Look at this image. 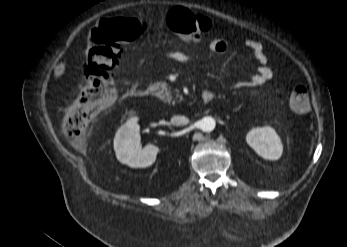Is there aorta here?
<instances>
[{"label":"aorta","instance_id":"1","mask_svg":"<svg viewBox=\"0 0 347 247\" xmlns=\"http://www.w3.org/2000/svg\"><path fill=\"white\" fill-rule=\"evenodd\" d=\"M216 126V121L211 116H206L200 121L201 130L204 132H211Z\"/></svg>","mask_w":347,"mask_h":247}]
</instances>
